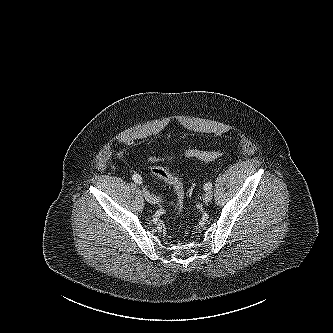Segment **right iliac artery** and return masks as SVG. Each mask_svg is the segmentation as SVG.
<instances>
[{
  "instance_id": "right-iliac-artery-1",
  "label": "right iliac artery",
  "mask_w": 333,
  "mask_h": 333,
  "mask_svg": "<svg viewBox=\"0 0 333 333\" xmlns=\"http://www.w3.org/2000/svg\"><path fill=\"white\" fill-rule=\"evenodd\" d=\"M132 179L134 180L135 183L137 184H142V178L138 174H133Z\"/></svg>"
}]
</instances>
